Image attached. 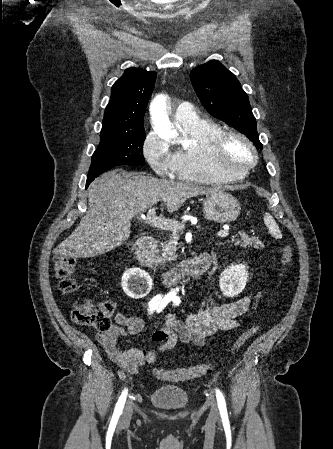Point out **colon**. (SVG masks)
<instances>
[{
  "label": "colon",
  "mask_w": 333,
  "mask_h": 449,
  "mask_svg": "<svg viewBox=\"0 0 333 449\" xmlns=\"http://www.w3.org/2000/svg\"><path fill=\"white\" fill-rule=\"evenodd\" d=\"M280 259L284 266H288L293 261V252L289 245L283 244L280 247ZM52 265L56 278L59 280V289L63 292H71L76 287L73 278L76 263L75 260L66 255H56L53 257ZM114 312V305L110 301L94 302L85 299L83 302L75 304L72 309V319L82 325L89 326L98 331H106L111 327V318ZM255 327L247 329L235 341L232 352L238 351L254 334ZM209 372V366L205 364L182 368V369H154V375L160 379L169 381H186L204 376Z\"/></svg>",
  "instance_id": "1"
}]
</instances>
